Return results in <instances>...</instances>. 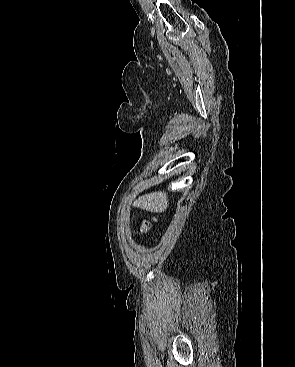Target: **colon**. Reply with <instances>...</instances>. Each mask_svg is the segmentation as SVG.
I'll list each match as a JSON object with an SVG mask.
<instances>
[{"mask_svg": "<svg viewBox=\"0 0 295 367\" xmlns=\"http://www.w3.org/2000/svg\"><path fill=\"white\" fill-rule=\"evenodd\" d=\"M149 226H150V224H149V223H144V224H143V226H142V230H143V231L148 230V229H149Z\"/></svg>", "mask_w": 295, "mask_h": 367, "instance_id": "colon-1", "label": "colon"}]
</instances>
